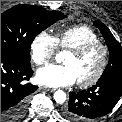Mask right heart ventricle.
<instances>
[{"mask_svg": "<svg viewBox=\"0 0 122 122\" xmlns=\"http://www.w3.org/2000/svg\"><path fill=\"white\" fill-rule=\"evenodd\" d=\"M55 40L60 48L71 50L89 42L99 41V36L89 26L76 25L58 31Z\"/></svg>", "mask_w": 122, "mask_h": 122, "instance_id": "e07e8e85", "label": "right heart ventricle"}]
</instances>
